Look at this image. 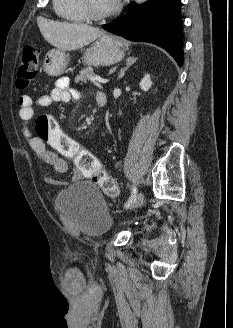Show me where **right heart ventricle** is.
I'll return each instance as SVG.
<instances>
[{"mask_svg":"<svg viewBox=\"0 0 233 328\" xmlns=\"http://www.w3.org/2000/svg\"><path fill=\"white\" fill-rule=\"evenodd\" d=\"M56 14L71 22H82L87 19L81 0H53Z\"/></svg>","mask_w":233,"mask_h":328,"instance_id":"1","label":"right heart ventricle"}]
</instances>
